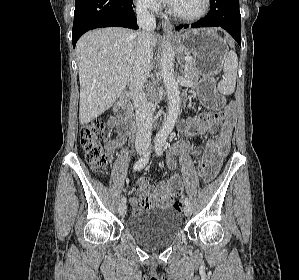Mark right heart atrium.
<instances>
[{
  "label": "right heart atrium",
  "mask_w": 299,
  "mask_h": 280,
  "mask_svg": "<svg viewBox=\"0 0 299 280\" xmlns=\"http://www.w3.org/2000/svg\"><path fill=\"white\" fill-rule=\"evenodd\" d=\"M136 3L147 10L158 11L161 8L162 0H135Z\"/></svg>",
  "instance_id": "obj_1"
}]
</instances>
